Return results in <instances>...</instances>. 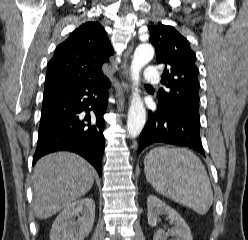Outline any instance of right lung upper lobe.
<instances>
[{"label":"right lung upper lobe","instance_id":"cb5924a9","mask_svg":"<svg viewBox=\"0 0 248 240\" xmlns=\"http://www.w3.org/2000/svg\"><path fill=\"white\" fill-rule=\"evenodd\" d=\"M113 48L98 22H86L55 50L47 66L44 95L106 77L102 65Z\"/></svg>","mask_w":248,"mask_h":240}]
</instances>
